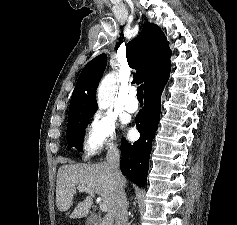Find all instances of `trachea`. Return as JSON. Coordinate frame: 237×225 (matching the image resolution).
<instances>
[{"mask_svg":"<svg viewBox=\"0 0 237 225\" xmlns=\"http://www.w3.org/2000/svg\"><path fill=\"white\" fill-rule=\"evenodd\" d=\"M143 85H140L138 88H137V98L138 100H143Z\"/></svg>","mask_w":237,"mask_h":225,"instance_id":"3493384b","label":"trachea"}]
</instances>
